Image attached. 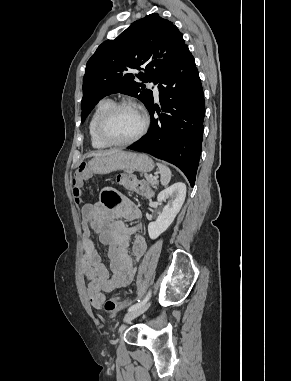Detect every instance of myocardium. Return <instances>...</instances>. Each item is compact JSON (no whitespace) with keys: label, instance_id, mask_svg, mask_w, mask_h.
Listing matches in <instances>:
<instances>
[{"label":"myocardium","instance_id":"myocardium-1","mask_svg":"<svg viewBox=\"0 0 291 381\" xmlns=\"http://www.w3.org/2000/svg\"><path fill=\"white\" fill-rule=\"evenodd\" d=\"M126 107L134 108L139 111V113L142 116V125L138 133L132 138L128 140H124V141H116L107 134L106 124L108 120L112 117V115H114L118 110L122 108H126ZM148 126H149V118L144 108L133 101L125 100V101H121V102L113 104L109 109H107L101 115V117L99 118L97 122V133L99 137L110 146H127L140 140L145 135L148 129Z\"/></svg>","mask_w":291,"mask_h":381}]
</instances>
